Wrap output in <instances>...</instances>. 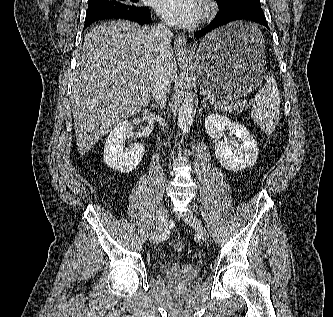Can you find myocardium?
<instances>
[{"mask_svg":"<svg viewBox=\"0 0 333 317\" xmlns=\"http://www.w3.org/2000/svg\"><path fill=\"white\" fill-rule=\"evenodd\" d=\"M212 9H213V5L212 4H208L206 6V13H210L212 11Z\"/></svg>","mask_w":333,"mask_h":317,"instance_id":"obj_1","label":"myocardium"}]
</instances>
